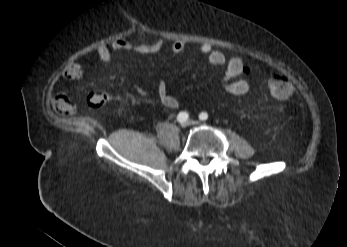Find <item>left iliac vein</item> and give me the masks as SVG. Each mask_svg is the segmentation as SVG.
<instances>
[{
  "label": "left iliac vein",
  "instance_id": "4c4485c4",
  "mask_svg": "<svg viewBox=\"0 0 347 247\" xmlns=\"http://www.w3.org/2000/svg\"><path fill=\"white\" fill-rule=\"evenodd\" d=\"M190 124H192V125H199L200 122H198V121H191Z\"/></svg>",
  "mask_w": 347,
  "mask_h": 247
}]
</instances>
